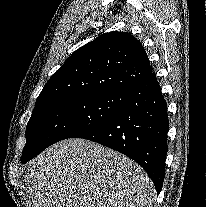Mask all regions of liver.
I'll return each instance as SVG.
<instances>
[{
  "mask_svg": "<svg viewBox=\"0 0 206 207\" xmlns=\"http://www.w3.org/2000/svg\"><path fill=\"white\" fill-rule=\"evenodd\" d=\"M24 177L35 207H152L155 197L152 180L133 160L78 138L44 150Z\"/></svg>",
  "mask_w": 206,
  "mask_h": 207,
  "instance_id": "obj_1",
  "label": "liver"
}]
</instances>
